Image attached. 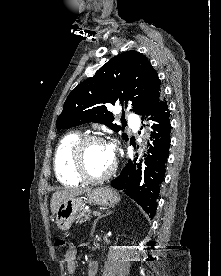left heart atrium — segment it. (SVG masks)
I'll return each mask as SVG.
<instances>
[{
    "mask_svg": "<svg viewBox=\"0 0 221 276\" xmlns=\"http://www.w3.org/2000/svg\"><path fill=\"white\" fill-rule=\"evenodd\" d=\"M109 150L111 151L112 155H114V149L111 145H108Z\"/></svg>",
    "mask_w": 221,
    "mask_h": 276,
    "instance_id": "obj_1",
    "label": "left heart atrium"
}]
</instances>
